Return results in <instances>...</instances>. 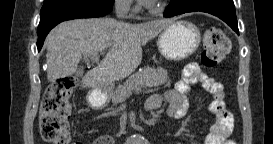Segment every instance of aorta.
<instances>
[{
	"instance_id": "aorta-1",
	"label": "aorta",
	"mask_w": 273,
	"mask_h": 144,
	"mask_svg": "<svg viewBox=\"0 0 273 144\" xmlns=\"http://www.w3.org/2000/svg\"><path fill=\"white\" fill-rule=\"evenodd\" d=\"M136 139H137V137L133 138V142H137Z\"/></svg>"
}]
</instances>
